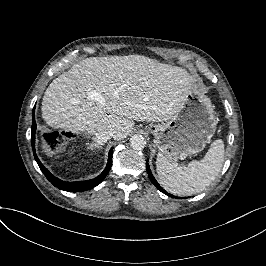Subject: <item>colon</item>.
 <instances>
[{
    "mask_svg": "<svg viewBox=\"0 0 266 266\" xmlns=\"http://www.w3.org/2000/svg\"><path fill=\"white\" fill-rule=\"evenodd\" d=\"M41 144L48 153H57L63 149V139L59 131H47L42 134Z\"/></svg>",
    "mask_w": 266,
    "mask_h": 266,
    "instance_id": "obj_1",
    "label": "colon"
}]
</instances>
